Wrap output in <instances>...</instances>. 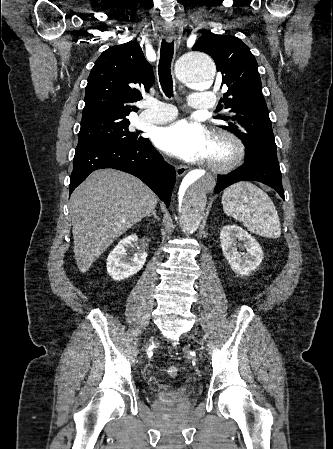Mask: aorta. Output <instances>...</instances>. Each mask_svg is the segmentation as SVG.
<instances>
[{
	"instance_id": "762f6f07",
	"label": "aorta",
	"mask_w": 333,
	"mask_h": 449,
	"mask_svg": "<svg viewBox=\"0 0 333 449\" xmlns=\"http://www.w3.org/2000/svg\"><path fill=\"white\" fill-rule=\"evenodd\" d=\"M178 73L180 80L188 87L206 90L215 78L216 67L208 54L194 51L180 59ZM214 187V176L205 172L191 171L183 178L178 187L177 198L184 232L193 233L197 230L205 210L207 195Z\"/></svg>"
}]
</instances>
